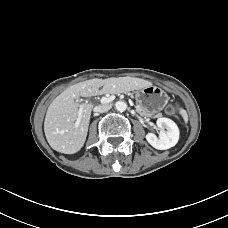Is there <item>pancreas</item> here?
Returning <instances> with one entry per match:
<instances>
[{
    "mask_svg": "<svg viewBox=\"0 0 228 228\" xmlns=\"http://www.w3.org/2000/svg\"><path fill=\"white\" fill-rule=\"evenodd\" d=\"M112 94H117V93H112ZM124 95H129L130 98H133V94H132L131 92H124ZM144 114H146L147 116H150V117L153 115L152 113H144ZM155 116H156V117H159V116H161V114L158 113V114H156Z\"/></svg>",
    "mask_w": 228,
    "mask_h": 228,
    "instance_id": "obj_1",
    "label": "pancreas"
}]
</instances>
